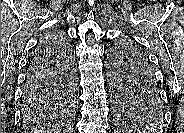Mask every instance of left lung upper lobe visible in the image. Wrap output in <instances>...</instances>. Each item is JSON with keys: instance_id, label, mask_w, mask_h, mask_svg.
Returning <instances> with one entry per match:
<instances>
[{"instance_id": "1", "label": "left lung upper lobe", "mask_w": 184, "mask_h": 133, "mask_svg": "<svg viewBox=\"0 0 184 133\" xmlns=\"http://www.w3.org/2000/svg\"><path fill=\"white\" fill-rule=\"evenodd\" d=\"M110 78L118 111L137 124L155 127L164 122L161 96L151 89L138 86L157 84L153 68L144 52L134 43L123 41L110 53Z\"/></svg>"}]
</instances>
